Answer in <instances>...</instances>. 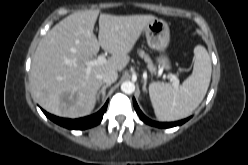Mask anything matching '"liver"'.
Masks as SVG:
<instances>
[{
	"instance_id": "6515ba94",
	"label": "liver",
	"mask_w": 248,
	"mask_h": 165,
	"mask_svg": "<svg viewBox=\"0 0 248 165\" xmlns=\"http://www.w3.org/2000/svg\"><path fill=\"white\" fill-rule=\"evenodd\" d=\"M99 10L75 12L56 24L40 40L30 70L31 91L39 105L57 116L78 118L95 106L102 75L122 71L153 15L115 16L101 13L98 39L93 30ZM100 47L111 54L87 72L86 62Z\"/></svg>"
}]
</instances>
